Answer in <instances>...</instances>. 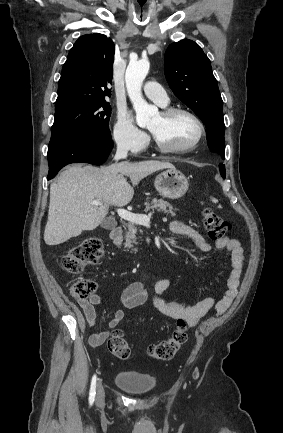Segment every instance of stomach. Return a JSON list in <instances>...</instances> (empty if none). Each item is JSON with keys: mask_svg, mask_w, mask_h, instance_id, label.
I'll return each mask as SVG.
<instances>
[{"mask_svg": "<svg viewBox=\"0 0 283 433\" xmlns=\"http://www.w3.org/2000/svg\"><path fill=\"white\" fill-rule=\"evenodd\" d=\"M154 186L166 198H180L188 190L189 182L180 170L168 168L161 174H157Z\"/></svg>", "mask_w": 283, "mask_h": 433, "instance_id": "0dacf381", "label": "stomach"}]
</instances>
